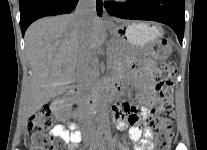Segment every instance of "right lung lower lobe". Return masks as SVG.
Returning <instances> with one entry per match:
<instances>
[{
  "mask_svg": "<svg viewBox=\"0 0 207 150\" xmlns=\"http://www.w3.org/2000/svg\"><path fill=\"white\" fill-rule=\"evenodd\" d=\"M78 0H19L20 27L22 35L35 20L58 14H67L74 10ZM98 15H102V0H97Z\"/></svg>",
  "mask_w": 207,
  "mask_h": 150,
  "instance_id": "98d812e1",
  "label": "right lung lower lobe"
}]
</instances>
